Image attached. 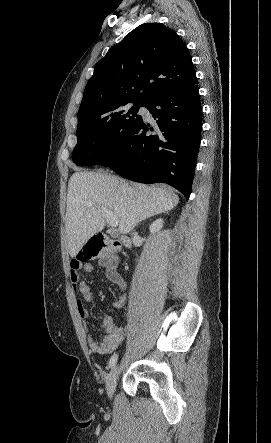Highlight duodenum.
Here are the masks:
<instances>
[{"mask_svg":"<svg viewBox=\"0 0 271 443\" xmlns=\"http://www.w3.org/2000/svg\"><path fill=\"white\" fill-rule=\"evenodd\" d=\"M122 242L124 243V245H126V246H128L129 245V243H128V240L126 239V238H123L122 239Z\"/></svg>","mask_w":271,"mask_h":443,"instance_id":"obj_1","label":"duodenum"}]
</instances>
